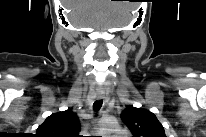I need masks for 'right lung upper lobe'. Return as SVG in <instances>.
<instances>
[{
    "label": "right lung upper lobe",
    "instance_id": "obj_1",
    "mask_svg": "<svg viewBox=\"0 0 206 137\" xmlns=\"http://www.w3.org/2000/svg\"><path fill=\"white\" fill-rule=\"evenodd\" d=\"M81 130L77 114L71 109L50 115L37 128L38 137H78Z\"/></svg>",
    "mask_w": 206,
    "mask_h": 137
}]
</instances>
